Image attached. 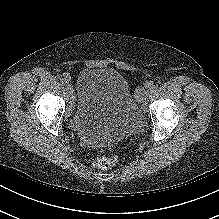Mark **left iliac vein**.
Segmentation results:
<instances>
[{
	"label": "left iliac vein",
	"mask_w": 219,
	"mask_h": 219,
	"mask_svg": "<svg viewBox=\"0 0 219 219\" xmlns=\"http://www.w3.org/2000/svg\"><path fill=\"white\" fill-rule=\"evenodd\" d=\"M136 97L139 101L143 103V110H147V102L150 97V91L145 90L144 88H138L136 91Z\"/></svg>",
	"instance_id": "4c4485c4"
}]
</instances>
